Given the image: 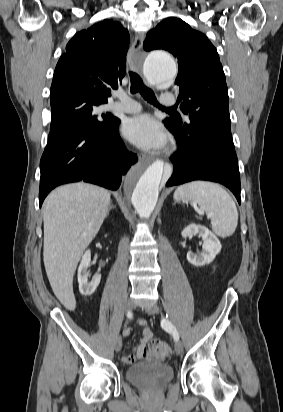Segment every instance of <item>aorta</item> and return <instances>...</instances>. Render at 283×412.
I'll use <instances>...</instances> for the list:
<instances>
[{
	"instance_id": "obj_1",
	"label": "aorta",
	"mask_w": 283,
	"mask_h": 412,
	"mask_svg": "<svg viewBox=\"0 0 283 412\" xmlns=\"http://www.w3.org/2000/svg\"><path fill=\"white\" fill-rule=\"evenodd\" d=\"M143 72L150 85L168 86L176 77L177 66L168 53L155 51L145 59ZM163 173L164 163L157 160L147 167L132 169L126 177L125 189L141 218H149L156 206Z\"/></svg>"
}]
</instances>
